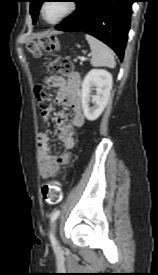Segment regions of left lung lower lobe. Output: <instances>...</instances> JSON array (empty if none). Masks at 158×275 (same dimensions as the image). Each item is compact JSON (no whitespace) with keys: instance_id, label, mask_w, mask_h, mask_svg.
<instances>
[{"instance_id":"left-lung-lower-lobe-1","label":"left lung lower lobe","mask_w":158,"mask_h":275,"mask_svg":"<svg viewBox=\"0 0 158 275\" xmlns=\"http://www.w3.org/2000/svg\"><path fill=\"white\" fill-rule=\"evenodd\" d=\"M76 11L56 25L61 31H83L111 47L123 59L134 0H75Z\"/></svg>"}]
</instances>
